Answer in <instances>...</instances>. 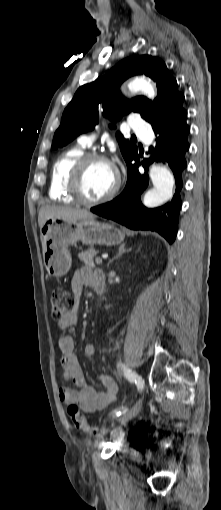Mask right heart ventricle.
Segmentation results:
<instances>
[{"mask_svg": "<svg viewBox=\"0 0 221 510\" xmlns=\"http://www.w3.org/2000/svg\"><path fill=\"white\" fill-rule=\"evenodd\" d=\"M85 147L73 146L62 152L55 160L51 170L49 197L52 200L73 203L75 200L67 188L68 175L74 163L84 154Z\"/></svg>", "mask_w": 221, "mask_h": 510, "instance_id": "obj_1", "label": "right heart ventricle"}]
</instances>
